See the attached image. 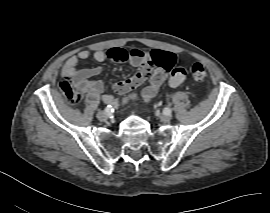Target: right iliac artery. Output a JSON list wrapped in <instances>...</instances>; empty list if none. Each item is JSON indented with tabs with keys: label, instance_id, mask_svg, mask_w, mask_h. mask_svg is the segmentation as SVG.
Returning a JSON list of instances; mask_svg holds the SVG:
<instances>
[{
	"label": "right iliac artery",
	"instance_id": "right-iliac-artery-1",
	"mask_svg": "<svg viewBox=\"0 0 270 213\" xmlns=\"http://www.w3.org/2000/svg\"><path fill=\"white\" fill-rule=\"evenodd\" d=\"M105 111H106L107 113H110V112L113 111V107H112L111 105H107L106 108H105Z\"/></svg>",
	"mask_w": 270,
	"mask_h": 213
}]
</instances>
